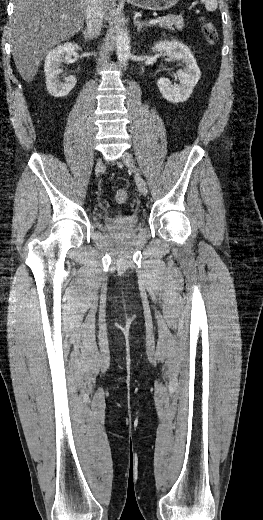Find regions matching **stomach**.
<instances>
[{
	"label": "stomach",
	"instance_id": "1",
	"mask_svg": "<svg viewBox=\"0 0 263 520\" xmlns=\"http://www.w3.org/2000/svg\"><path fill=\"white\" fill-rule=\"evenodd\" d=\"M179 0H127L131 5L153 11H162L176 5Z\"/></svg>",
	"mask_w": 263,
	"mask_h": 520
}]
</instances>
